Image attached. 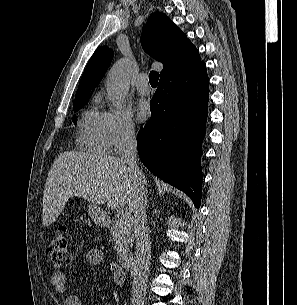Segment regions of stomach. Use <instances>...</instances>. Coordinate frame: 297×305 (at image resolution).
Here are the masks:
<instances>
[{"label": "stomach", "mask_w": 297, "mask_h": 305, "mask_svg": "<svg viewBox=\"0 0 297 305\" xmlns=\"http://www.w3.org/2000/svg\"><path fill=\"white\" fill-rule=\"evenodd\" d=\"M88 213H89V216L91 217V219L97 224H101L105 220L104 212L102 211V209L100 207H98L95 204L91 203L88 206Z\"/></svg>", "instance_id": "stomach-1"}]
</instances>
